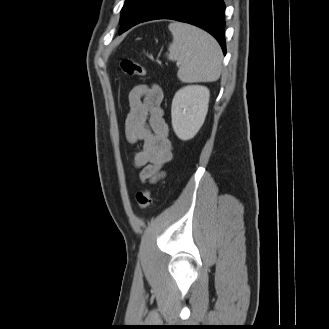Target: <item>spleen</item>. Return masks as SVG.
Segmentation results:
<instances>
[{"mask_svg":"<svg viewBox=\"0 0 329 329\" xmlns=\"http://www.w3.org/2000/svg\"><path fill=\"white\" fill-rule=\"evenodd\" d=\"M173 42L168 59L177 61V77L184 83L213 82L222 69V51L217 41L205 31L189 24L169 25Z\"/></svg>","mask_w":329,"mask_h":329,"instance_id":"obj_1","label":"spleen"}]
</instances>
